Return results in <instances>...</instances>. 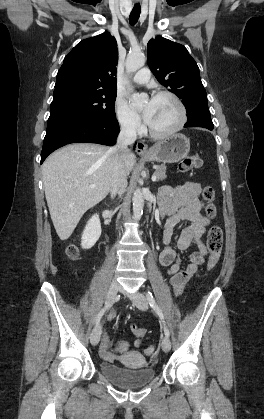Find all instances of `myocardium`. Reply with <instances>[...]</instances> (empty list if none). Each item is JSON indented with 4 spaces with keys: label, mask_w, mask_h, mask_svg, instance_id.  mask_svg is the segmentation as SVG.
<instances>
[{
    "label": "myocardium",
    "mask_w": 264,
    "mask_h": 419,
    "mask_svg": "<svg viewBox=\"0 0 264 419\" xmlns=\"http://www.w3.org/2000/svg\"><path fill=\"white\" fill-rule=\"evenodd\" d=\"M153 97L154 98L168 97L176 104V106L178 108L179 119H178V122L176 123V125L174 127H172L171 129H169L165 132H157V131H154L150 126H148V133L152 138H154V139L169 138V137L173 136L174 134H176L177 132H179L182 129V127L184 126V124L186 123V120H187L186 108H185L182 100L175 93H173L171 91L160 90V91L155 92Z\"/></svg>",
    "instance_id": "1"
}]
</instances>
